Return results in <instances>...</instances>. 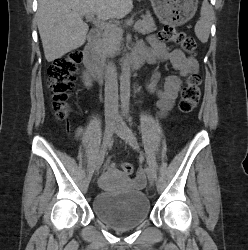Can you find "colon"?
Masks as SVG:
<instances>
[{
	"mask_svg": "<svg viewBox=\"0 0 248 250\" xmlns=\"http://www.w3.org/2000/svg\"><path fill=\"white\" fill-rule=\"evenodd\" d=\"M160 35L163 40L180 45L186 52L194 53L197 49L195 39L173 25H165ZM81 60V52L73 50L48 67L47 74L52 93V106L59 119H64L67 116L69 98L79 72ZM200 84L201 76L198 72H193L188 76L182 88L179 102V109L182 113L189 114L196 108L201 95ZM120 169L127 176H131L134 171L130 163H121Z\"/></svg>",
	"mask_w": 248,
	"mask_h": 250,
	"instance_id": "colon-1",
	"label": "colon"
}]
</instances>
